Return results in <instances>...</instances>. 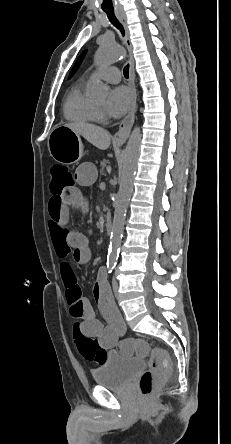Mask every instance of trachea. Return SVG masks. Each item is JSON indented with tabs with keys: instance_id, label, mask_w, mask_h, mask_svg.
Instances as JSON below:
<instances>
[{
	"instance_id": "trachea-1",
	"label": "trachea",
	"mask_w": 231,
	"mask_h": 444,
	"mask_svg": "<svg viewBox=\"0 0 231 444\" xmlns=\"http://www.w3.org/2000/svg\"><path fill=\"white\" fill-rule=\"evenodd\" d=\"M104 12L107 14V17L110 20V22L117 29H119L120 32L122 33V35L124 36L125 35V31H124L123 25L119 22V20L115 16L114 10H104ZM123 73H124L125 78H128V76H129V64L125 66Z\"/></svg>"
}]
</instances>
